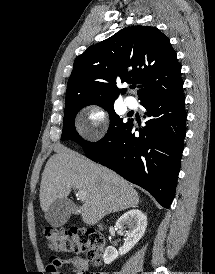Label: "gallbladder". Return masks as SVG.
I'll return each instance as SVG.
<instances>
[{
	"label": "gallbladder",
	"instance_id": "bac80fb5",
	"mask_svg": "<svg viewBox=\"0 0 215 274\" xmlns=\"http://www.w3.org/2000/svg\"><path fill=\"white\" fill-rule=\"evenodd\" d=\"M71 213H78V207L68 198L55 200L45 211L46 221L53 227L63 226Z\"/></svg>",
	"mask_w": 215,
	"mask_h": 274
}]
</instances>
